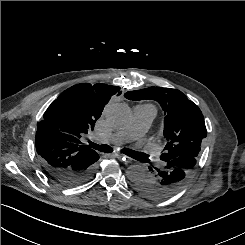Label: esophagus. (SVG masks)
Instances as JSON below:
<instances>
[{"instance_id": "obj_1", "label": "esophagus", "mask_w": 245, "mask_h": 245, "mask_svg": "<svg viewBox=\"0 0 245 245\" xmlns=\"http://www.w3.org/2000/svg\"><path fill=\"white\" fill-rule=\"evenodd\" d=\"M114 157L116 158H119V159H122L124 163H129L131 162V159L123 154H120V153H114L113 154Z\"/></svg>"}]
</instances>
